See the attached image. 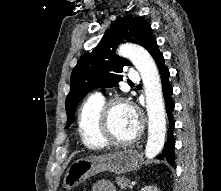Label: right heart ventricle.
Instances as JSON below:
<instances>
[{"label": "right heart ventricle", "mask_w": 221, "mask_h": 191, "mask_svg": "<svg viewBox=\"0 0 221 191\" xmlns=\"http://www.w3.org/2000/svg\"><path fill=\"white\" fill-rule=\"evenodd\" d=\"M105 103L103 97L89 96L80 106L77 126L82 143L89 149H102L107 145L100 137V112Z\"/></svg>", "instance_id": "1"}]
</instances>
